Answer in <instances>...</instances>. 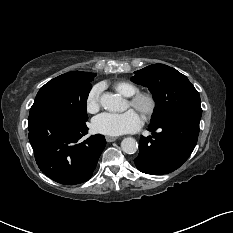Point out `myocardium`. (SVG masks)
Returning <instances> with one entry per match:
<instances>
[{
    "label": "myocardium",
    "mask_w": 233,
    "mask_h": 233,
    "mask_svg": "<svg viewBox=\"0 0 233 233\" xmlns=\"http://www.w3.org/2000/svg\"><path fill=\"white\" fill-rule=\"evenodd\" d=\"M130 107L136 109L143 120L148 121L154 115L157 107L156 98L149 91H139L128 98Z\"/></svg>",
    "instance_id": "1"
}]
</instances>
